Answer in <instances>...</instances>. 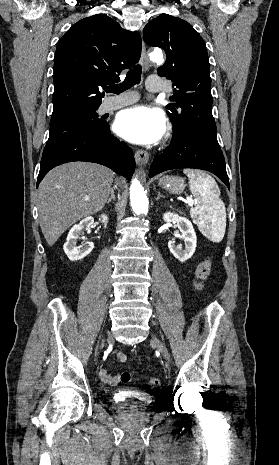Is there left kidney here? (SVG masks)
<instances>
[{"label": "left kidney", "instance_id": "obj_1", "mask_svg": "<svg viewBox=\"0 0 279 465\" xmlns=\"http://www.w3.org/2000/svg\"><path fill=\"white\" fill-rule=\"evenodd\" d=\"M163 220L166 223H176L180 230V238L185 241V249H182L181 245H176L174 240L168 242V248L176 259L185 262L193 256L197 245V237L192 223L187 218L171 212H166L163 215Z\"/></svg>", "mask_w": 279, "mask_h": 465}]
</instances>
